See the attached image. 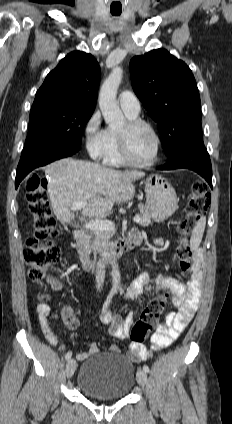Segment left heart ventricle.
Returning <instances> with one entry per match:
<instances>
[{"label":"left heart ventricle","mask_w":232,"mask_h":424,"mask_svg":"<svg viewBox=\"0 0 232 424\" xmlns=\"http://www.w3.org/2000/svg\"><path fill=\"white\" fill-rule=\"evenodd\" d=\"M125 128L126 123L118 131H123ZM155 146V138L146 128H137L128 135L129 154L135 161L143 162L149 160L154 154Z\"/></svg>","instance_id":"1"}]
</instances>
